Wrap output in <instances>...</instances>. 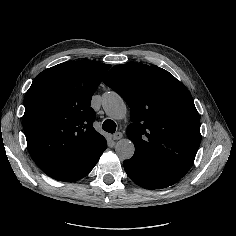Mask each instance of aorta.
<instances>
[{"instance_id":"aorta-1","label":"aorta","mask_w":236,"mask_h":236,"mask_svg":"<svg viewBox=\"0 0 236 236\" xmlns=\"http://www.w3.org/2000/svg\"><path fill=\"white\" fill-rule=\"evenodd\" d=\"M102 106L106 114L116 120L123 119L127 112L124 100L115 92L103 94ZM115 151L120 159L127 160L133 156L135 147L131 140L123 138L117 142Z\"/></svg>"}]
</instances>
